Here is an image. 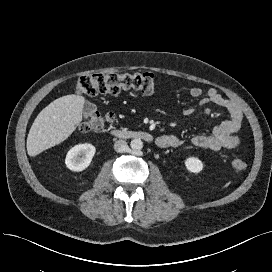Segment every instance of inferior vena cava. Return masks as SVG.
Listing matches in <instances>:
<instances>
[{
  "instance_id": "inferior-vena-cava-1",
  "label": "inferior vena cava",
  "mask_w": 272,
  "mask_h": 272,
  "mask_svg": "<svg viewBox=\"0 0 272 272\" xmlns=\"http://www.w3.org/2000/svg\"><path fill=\"white\" fill-rule=\"evenodd\" d=\"M114 149L116 152H119V153L126 152L128 150L127 142L124 140H117L114 143Z\"/></svg>"
}]
</instances>
